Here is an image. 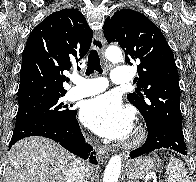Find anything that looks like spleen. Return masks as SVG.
I'll return each instance as SVG.
<instances>
[{
  "label": "spleen",
  "instance_id": "obj_1",
  "mask_svg": "<svg viewBox=\"0 0 196 182\" xmlns=\"http://www.w3.org/2000/svg\"><path fill=\"white\" fill-rule=\"evenodd\" d=\"M166 182H189V177L184 164L171 156L165 172Z\"/></svg>",
  "mask_w": 196,
  "mask_h": 182
}]
</instances>
